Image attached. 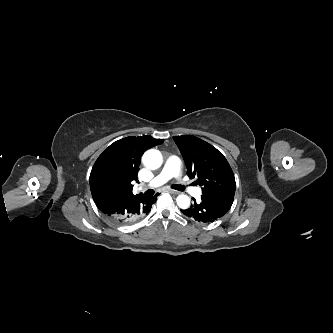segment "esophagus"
<instances>
[{"instance_id":"obj_1","label":"esophagus","mask_w":333,"mask_h":333,"mask_svg":"<svg viewBox=\"0 0 333 333\" xmlns=\"http://www.w3.org/2000/svg\"><path fill=\"white\" fill-rule=\"evenodd\" d=\"M169 193H171V194H174V195H178V194H180V192H178V191H176V190H172V189H168L167 190Z\"/></svg>"}]
</instances>
